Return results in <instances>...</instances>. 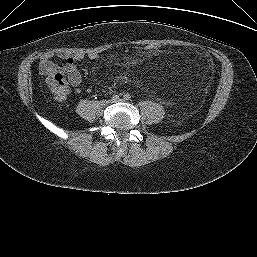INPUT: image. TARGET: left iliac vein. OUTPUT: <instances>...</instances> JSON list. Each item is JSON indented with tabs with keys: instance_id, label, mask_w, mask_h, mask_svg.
Here are the masks:
<instances>
[{
	"instance_id": "1",
	"label": "left iliac vein",
	"mask_w": 257,
	"mask_h": 257,
	"mask_svg": "<svg viewBox=\"0 0 257 257\" xmlns=\"http://www.w3.org/2000/svg\"><path fill=\"white\" fill-rule=\"evenodd\" d=\"M117 101H122V99H119V100H117Z\"/></svg>"
}]
</instances>
